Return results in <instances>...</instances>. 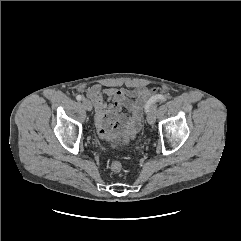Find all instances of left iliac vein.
<instances>
[{
    "label": "left iliac vein",
    "mask_w": 241,
    "mask_h": 241,
    "mask_svg": "<svg viewBox=\"0 0 241 241\" xmlns=\"http://www.w3.org/2000/svg\"><path fill=\"white\" fill-rule=\"evenodd\" d=\"M156 108L157 104L154 103L150 108L149 111L147 112V121L150 125H153L156 120Z\"/></svg>",
    "instance_id": "obj_1"
}]
</instances>
